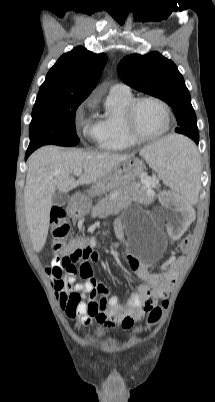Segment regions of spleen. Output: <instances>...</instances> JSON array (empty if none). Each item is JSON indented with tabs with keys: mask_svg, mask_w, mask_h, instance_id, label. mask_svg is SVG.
Returning <instances> with one entry per match:
<instances>
[{
	"mask_svg": "<svg viewBox=\"0 0 215 402\" xmlns=\"http://www.w3.org/2000/svg\"><path fill=\"white\" fill-rule=\"evenodd\" d=\"M149 166L175 193H186L181 202L193 204L198 186V165L193 144L186 137L167 136L140 152Z\"/></svg>",
	"mask_w": 215,
	"mask_h": 402,
	"instance_id": "3e777b00",
	"label": "spleen"
}]
</instances>
